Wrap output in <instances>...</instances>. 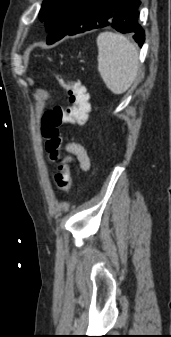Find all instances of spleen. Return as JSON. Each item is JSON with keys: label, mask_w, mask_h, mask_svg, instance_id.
<instances>
[{"label": "spleen", "mask_w": 171, "mask_h": 337, "mask_svg": "<svg viewBox=\"0 0 171 337\" xmlns=\"http://www.w3.org/2000/svg\"><path fill=\"white\" fill-rule=\"evenodd\" d=\"M98 71L114 94L125 93L134 82L138 67V50L129 39L113 32L97 37Z\"/></svg>", "instance_id": "obj_1"}]
</instances>
